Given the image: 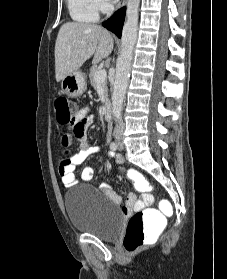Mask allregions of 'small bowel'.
I'll return each mask as SVG.
<instances>
[{
  "label": "small bowel",
  "mask_w": 227,
  "mask_h": 279,
  "mask_svg": "<svg viewBox=\"0 0 227 279\" xmlns=\"http://www.w3.org/2000/svg\"><path fill=\"white\" fill-rule=\"evenodd\" d=\"M85 116V119L82 121V131L76 132L74 130V125L71 127V131L73 136L79 143V152L69 157L61 158L57 164V172L61 178L63 185L67 188L74 186L78 183V179L75 174V169L77 166L81 165L86 161V159L91 155L99 151L98 146H92L89 144L86 133L84 131V126H88L92 123L93 118L89 114L88 109H84L81 111L79 118ZM77 122L80 120H76ZM111 129L107 128V134H110ZM114 153L109 152L108 157H113ZM117 160H121L120 157H117ZM135 172L133 169H125L123 171L125 177L128 180H132L131 173ZM80 179L82 181H91L93 179V169L92 167H85L80 173ZM101 188L104 190L108 198L115 204H121L122 200L119 195H117L114 191L109 189L108 184L101 185ZM152 196L143 195L138 196L135 192L130 193L125 201L124 208L130 210L133 208L134 210L141 209L146 205L151 204Z\"/></svg>",
  "instance_id": "c3829d8e"
}]
</instances>
